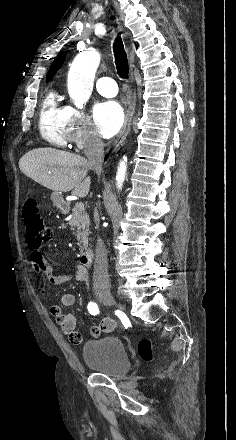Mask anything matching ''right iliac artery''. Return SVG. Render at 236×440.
Listing matches in <instances>:
<instances>
[{
    "label": "right iliac artery",
    "instance_id": "82829eb1",
    "mask_svg": "<svg viewBox=\"0 0 236 440\" xmlns=\"http://www.w3.org/2000/svg\"><path fill=\"white\" fill-rule=\"evenodd\" d=\"M87 308H88V311H89V313L91 315H97L100 312L99 308H98V305L95 302H93V301L88 303Z\"/></svg>",
    "mask_w": 236,
    "mask_h": 440
}]
</instances>
